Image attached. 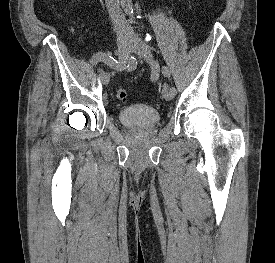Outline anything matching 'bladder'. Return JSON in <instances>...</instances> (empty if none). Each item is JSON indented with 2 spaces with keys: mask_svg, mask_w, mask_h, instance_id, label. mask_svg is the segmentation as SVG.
<instances>
[{
  "mask_svg": "<svg viewBox=\"0 0 275 263\" xmlns=\"http://www.w3.org/2000/svg\"><path fill=\"white\" fill-rule=\"evenodd\" d=\"M119 122L132 129H148L160 121V113L146 105H131L118 111Z\"/></svg>",
  "mask_w": 275,
  "mask_h": 263,
  "instance_id": "bladder-1",
  "label": "bladder"
}]
</instances>
